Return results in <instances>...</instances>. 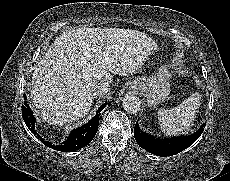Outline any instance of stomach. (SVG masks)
I'll return each instance as SVG.
<instances>
[{"label":"stomach","instance_id":"0dacf381","mask_svg":"<svg viewBox=\"0 0 230 181\" xmlns=\"http://www.w3.org/2000/svg\"><path fill=\"white\" fill-rule=\"evenodd\" d=\"M169 76L168 67L164 66L159 73L139 82H134L131 86L139 84L140 90L147 97L148 105L157 106L160 102L168 98L170 94Z\"/></svg>","mask_w":230,"mask_h":181}]
</instances>
